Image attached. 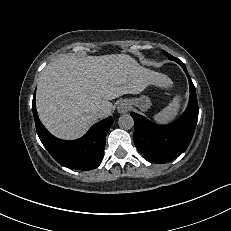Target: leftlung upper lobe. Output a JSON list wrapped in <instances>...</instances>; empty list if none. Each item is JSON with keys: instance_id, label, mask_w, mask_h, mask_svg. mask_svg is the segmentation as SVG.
<instances>
[{"instance_id": "1", "label": "left lung upper lobe", "mask_w": 231, "mask_h": 231, "mask_svg": "<svg viewBox=\"0 0 231 231\" xmlns=\"http://www.w3.org/2000/svg\"><path fill=\"white\" fill-rule=\"evenodd\" d=\"M163 54L169 58L173 57L172 55H170L169 53H167L166 51L162 50Z\"/></svg>"}]
</instances>
